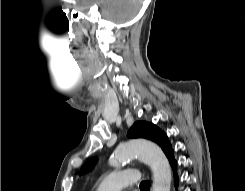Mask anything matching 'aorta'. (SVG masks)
<instances>
[{
    "label": "aorta",
    "instance_id": "aorta-1",
    "mask_svg": "<svg viewBox=\"0 0 245 191\" xmlns=\"http://www.w3.org/2000/svg\"><path fill=\"white\" fill-rule=\"evenodd\" d=\"M141 159L153 172L152 191H170L171 168L159 146L146 140H131L118 146L110 160L111 166H119L134 158Z\"/></svg>",
    "mask_w": 245,
    "mask_h": 191
}]
</instances>
